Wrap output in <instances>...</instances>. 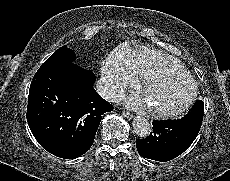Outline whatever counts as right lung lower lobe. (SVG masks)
Here are the masks:
<instances>
[{
    "label": "right lung lower lobe",
    "mask_w": 230,
    "mask_h": 181,
    "mask_svg": "<svg viewBox=\"0 0 230 181\" xmlns=\"http://www.w3.org/2000/svg\"><path fill=\"white\" fill-rule=\"evenodd\" d=\"M95 76L74 63L39 69L31 82L27 122L49 153L73 159L86 153L113 106L93 88Z\"/></svg>",
    "instance_id": "98d812e1"
}]
</instances>
